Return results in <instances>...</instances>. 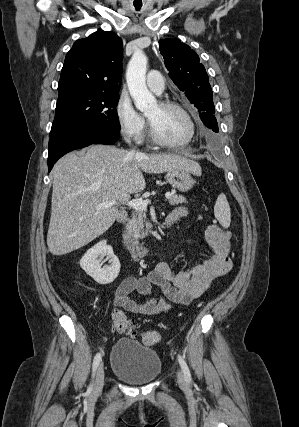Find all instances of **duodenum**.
I'll return each mask as SVG.
<instances>
[{"label": "duodenum", "mask_w": 299, "mask_h": 427, "mask_svg": "<svg viewBox=\"0 0 299 427\" xmlns=\"http://www.w3.org/2000/svg\"><path fill=\"white\" fill-rule=\"evenodd\" d=\"M126 218H127V214L125 212H120L118 215V223L122 224L123 222L126 221ZM174 222H175V219L168 216L164 222V225L170 226ZM121 243L133 259H140L148 253V249L144 245L134 240L121 237Z\"/></svg>", "instance_id": "1"}]
</instances>
